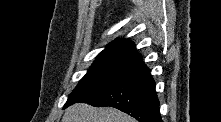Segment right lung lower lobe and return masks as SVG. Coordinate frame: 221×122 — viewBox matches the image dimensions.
<instances>
[{"label":"right lung lower lobe","mask_w":221,"mask_h":122,"mask_svg":"<svg viewBox=\"0 0 221 122\" xmlns=\"http://www.w3.org/2000/svg\"><path fill=\"white\" fill-rule=\"evenodd\" d=\"M79 102L115 107L139 122H162L155 82L142 61L119 82Z\"/></svg>","instance_id":"obj_1"}]
</instances>
